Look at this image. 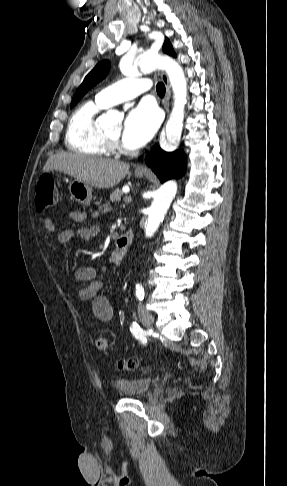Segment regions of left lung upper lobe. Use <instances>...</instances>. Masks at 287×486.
<instances>
[{
	"instance_id": "obj_1",
	"label": "left lung upper lobe",
	"mask_w": 287,
	"mask_h": 486,
	"mask_svg": "<svg viewBox=\"0 0 287 486\" xmlns=\"http://www.w3.org/2000/svg\"><path fill=\"white\" fill-rule=\"evenodd\" d=\"M163 52L172 56H176L170 41L166 38L163 44ZM110 70L109 61L104 60L98 63L85 77L82 84L76 90L72 99L70 107L75 106L78 101L90 90L93 86L103 80Z\"/></svg>"
}]
</instances>
